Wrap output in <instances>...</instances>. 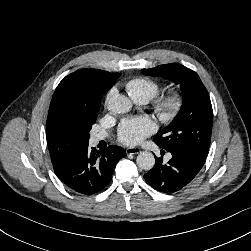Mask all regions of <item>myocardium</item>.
I'll return each mask as SVG.
<instances>
[{
	"instance_id": "myocardium-1",
	"label": "myocardium",
	"mask_w": 251,
	"mask_h": 251,
	"mask_svg": "<svg viewBox=\"0 0 251 251\" xmlns=\"http://www.w3.org/2000/svg\"><path fill=\"white\" fill-rule=\"evenodd\" d=\"M182 106V94L179 91H171L156 101L154 111L160 120L171 122L178 116Z\"/></svg>"
}]
</instances>
